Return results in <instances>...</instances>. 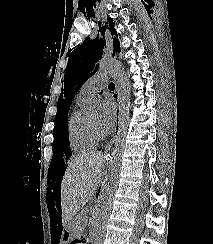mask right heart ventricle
I'll use <instances>...</instances> for the list:
<instances>
[{"label":"right heart ventricle","instance_id":"right-heart-ventricle-1","mask_svg":"<svg viewBox=\"0 0 213 244\" xmlns=\"http://www.w3.org/2000/svg\"><path fill=\"white\" fill-rule=\"evenodd\" d=\"M86 98L79 95L76 98V107L68 119V135L71 148L76 152L95 150L99 144V137L95 134L90 120L81 112V105Z\"/></svg>","mask_w":213,"mask_h":244}]
</instances>
